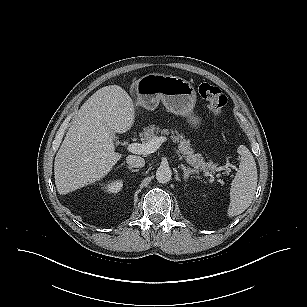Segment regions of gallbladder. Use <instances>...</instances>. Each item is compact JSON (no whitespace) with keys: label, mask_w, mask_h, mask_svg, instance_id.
Masks as SVG:
<instances>
[{"label":"gallbladder","mask_w":307,"mask_h":307,"mask_svg":"<svg viewBox=\"0 0 307 307\" xmlns=\"http://www.w3.org/2000/svg\"><path fill=\"white\" fill-rule=\"evenodd\" d=\"M113 137H114V140H116V137H115V135L113 134Z\"/></svg>","instance_id":"bac80fb5"}]
</instances>
